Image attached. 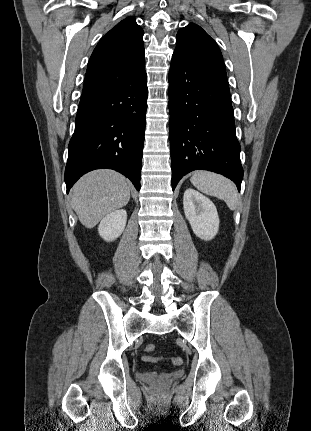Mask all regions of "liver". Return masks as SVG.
Instances as JSON below:
<instances>
[{"label":"liver","instance_id":"6515ba94","mask_svg":"<svg viewBox=\"0 0 311 431\" xmlns=\"http://www.w3.org/2000/svg\"><path fill=\"white\" fill-rule=\"evenodd\" d=\"M130 200L127 178L113 170H95L82 176L72 188L71 208L82 225L94 227L102 217Z\"/></svg>","mask_w":311,"mask_h":431}]
</instances>
